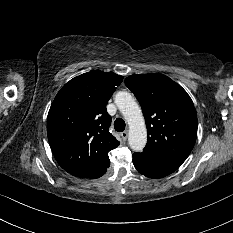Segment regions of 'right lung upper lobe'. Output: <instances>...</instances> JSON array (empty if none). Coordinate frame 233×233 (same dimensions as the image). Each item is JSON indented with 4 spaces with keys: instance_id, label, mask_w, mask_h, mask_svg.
<instances>
[{
    "instance_id": "cb5924a9",
    "label": "right lung upper lobe",
    "mask_w": 233,
    "mask_h": 233,
    "mask_svg": "<svg viewBox=\"0 0 233 233\" xmlns=\"http://www.w3.org/2000/svg\"><path fill=\"white\" fill-rule=\"evenodd\" d=\"M123 77L91 71L66 83L47 117V135L60 166L79 178L101 177L110 165L108 152L120 144L109 132L106 104Z\"/></svg>"
}]
</instances>
